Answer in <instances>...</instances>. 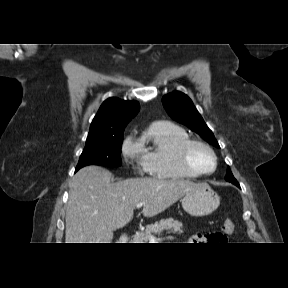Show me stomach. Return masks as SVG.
I'll list each match as a JSON object with an SVG mask.
<instances>
[{"instance_id": "1", "label": "stomach", "mask_w": 288, "mask_h": 288, "mask_svg": "<svg viewBox=\"0 0 288 288\" xmlns=\"http://www.w3.org/2000/svg\"><path fill=\"white\" fill-rule=\"evenodd\" d=\"M182 207L192 216H205L215 211L220 204V197L206 183L197 186L183 197Z\"/></svg>"}]
</instances>
